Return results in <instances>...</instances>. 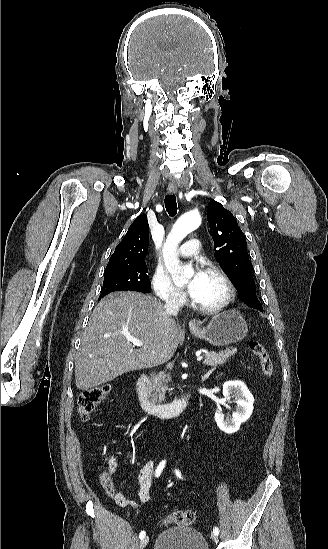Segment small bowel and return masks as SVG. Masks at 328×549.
<instances>
[{"label": "small bowel", "instance_id": "obj_1", "mask_svg": "<svg viewBox=\"0 0 328 549\" xmlns=\"http://www.w3.org/2000/svg\"><path fill=\"white\" fill-rule=\"evenodd\" d=\"M118 469V461L116 457L109 456L107 460V473L106 475L114 474ZM156 477L155 464L153 461H148L144 464L138 472V484H139V499L141 502L146 503L150 500L151 487ZM108 495L121 507L135 508L137 503L125 496L121 491L115 489L112 481L111 487L107 491Z\"/></svg>", "mask_w": 328, "mask_h": 549}]
</instances>
